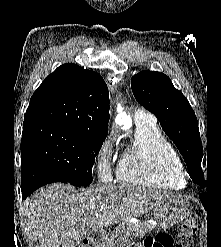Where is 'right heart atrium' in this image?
<instances>
[{
    "label": "right heart atrium",
    "instance_id": "obj_1",
    "mask_svg": "<svg viewBox=\"0 0 221 247\" xmlns=\"http://www.w3.org/2000/svg\"><path fill=\"white\" fill-rule=\"evenodd\" d=\"M112 150L109 138H106L100 145L97 155V171L100 179L108 182L112 176L111 168Z\"/></svg>",
    "mask_w": 221,
    "mask_h": 247
}]
</instances>
